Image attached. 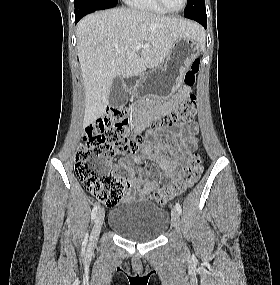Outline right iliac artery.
Returning <instances> with one entry per match:
<instances>
[{"instance_id": "1", "label": "right iliac artery", "mask_w": 280, "mask_h": 285, "mask_svg": "<svg viewBox=\"0 0 280 285\" xmlns=\"http://www.w3.org/2000/svg\"><path fill=\"white\" fill-rule=\"evenodd\" d=\"M98 209H99V205L95 204L93 209H92V213H91L92 220H94V218H95V216L97 214ZM87 237H88V234H86V236H85V241H87Z\"/></svg>"}]
</instances>
